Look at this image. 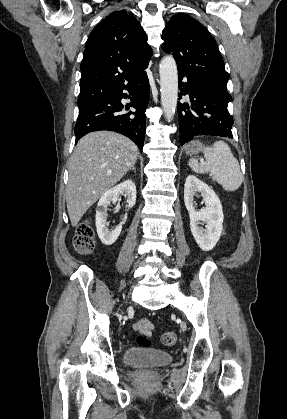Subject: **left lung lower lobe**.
Wrapping results in <instances>:
<instances>
[{
  "label": "left lung lower lobe",
  "instance_id": "left-lung-lower-lobe-1",
  "mask_svg": "<svg viewBox=\"0 0 287 419\" xmlns=\"http://www.w3.org/2000/svg\"><path fill=\"white\" fill-rule=\"evenodd\" d=\"M178 75L179 97L188 94L191 105L178 103L180 145L198 136H221L233 138V117L227 106L232 100L227 88L187 79ZM188 110V109H190Z\"/></svg>",
  "mask_w": 287,
  "mask_h": 419
}]
</instances>
